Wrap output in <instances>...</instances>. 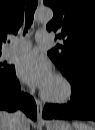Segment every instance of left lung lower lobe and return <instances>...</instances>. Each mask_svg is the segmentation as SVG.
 Wrapping results in <instances>:
<instances>
[{
	"instance_id": "left-lung-lower-lobe-1",
	"label": "left lung lower lobe",
	"mask_w": 95,
	"mask_h": 130,
	"mask_svg": "<svg viewBox=\"0 0 95 130\" xmlns=\"http://www.w3.org/2000/svg\"><path fill=\"white\" fill-rule=\"evenodd\" d=\"M71 83V101L65 105L46 104L45 119H83L95 121V67H82L64 74Z\"/></svg>"
}]
</instances>
